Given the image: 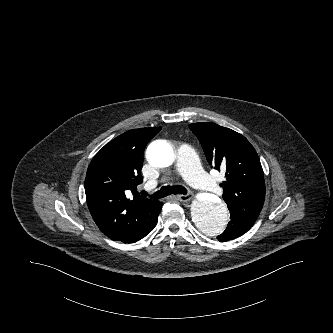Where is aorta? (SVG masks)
<instances>
[{"label": "aorta", "mask_w": 333, "mask_h": 333, "mask_svg": "<svg viewBox=\"0 0 333 333\" xmlns=\"http://www.w3.org/2000/svg\"><path fill=\"white\" fill-rule=\"evenodd\" d=\"M147 159L155 167H169L174 162V152L166 141H155L147 149ZM191 216L196 227L207 235L223 233L229 222L225 203L214 195L194 200L191 204Z\"/></svg>", "instance_id": "obj_1"}]
</instances>
